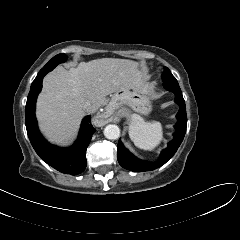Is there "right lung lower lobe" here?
<instances>
[{
    "mask_svg": "<svg viewBox=\"0 0 240 240\" xmlns=\"http://www.w3.org/2000/svg\"><path fill=\"white\" fill-rule=\"evenodd\" d=\"M49 71V69H41L31 85L25 110L27 134L34 150L44 162L62 173L77 175L86 168V149L95 129L90 122L91 117L86 116L82 121L79 136L73 146L60 148L49 144L43 138L37 126L35 106L37 96L42 89L43 77Z\"/></svg>",
    "mask_w": 240,
    "mask_h": 240,
    "instance_id": "1",
    "label": "right lung lower lobe"
}]
</instances>
